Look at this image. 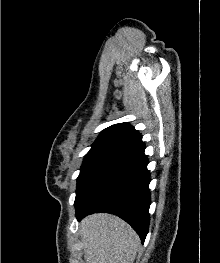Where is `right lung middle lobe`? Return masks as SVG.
<instances>
[{"instance_id":"right-lung-middle-lobe-1","label":"right lung middle lobe","mask_w":220,"mask_h":263,"mask_svg":"<svg viewBox=\"0 0 220 263\" xmlns=\"http://www.w3.org/2000/svg\"><path fill=\"white\" fill-rule=\"evenodd\" d=\"M115 155L116 153L104 151L88 152L86 154L77 179L75 202L80 198L82 193L85 191L96 174L100 171V169Z\"/></svg>"}]
</instances>
